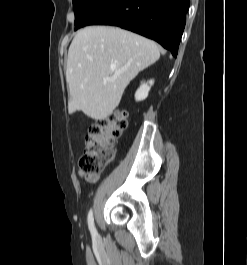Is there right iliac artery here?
<instances>
[{"label":"right iliac artery","mask_w":247,"mask_h":265,"mask_svg":"<svg viewBox=\"0 0 247 265\" xmlns=\"http://www.w3.org/2000/svg\"><path fill=\"white\" fill-rule=\"evenodd\" d=\"M88 227H89V230H90L92 236L96 237L97 236V231H96V228L94 226V219H93L92 210H90L89 214H88Z\"/></svg>","instance_id":"obj_1"}]
</instances>
